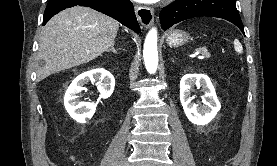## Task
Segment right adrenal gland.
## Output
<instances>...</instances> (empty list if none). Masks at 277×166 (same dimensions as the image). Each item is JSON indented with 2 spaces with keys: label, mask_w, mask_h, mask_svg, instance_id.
Wrapping results in <instances>:
<instances>
[{
  "label": "right adrenal gland",
  "mask_w": 277,
  "mask_h": 166,
  "mask_svg": "<svg viewBox=\"0 0 277 166\" xmlns=\"http://www.w3.org/2000/svg\"><path fill=\"white\" fill-rule=\"evenodd\" d=\"M109 51H112L113 53L117 54V50L114 48V45H112L111 48L107 50V52Z\"/></svg>",
  "instance_id": "2a0ac1e0"
}]
</instances>
